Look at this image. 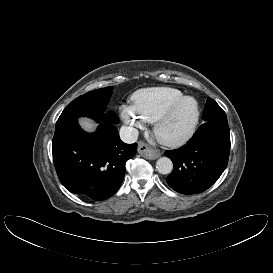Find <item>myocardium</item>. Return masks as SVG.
Returning <instances> with one entry per match:
<instances>
[{
    "label": "myocardium",
    "mask_w": 273,
    "mask_h": 273,
    "mask_svg": "<svg viewBox=\"0 0 273 273\" xmlns=\"http://www.w3.org/2000/svg\"><path fill=\"white\" fill-rule=\"evenodd\" d=\"M186 101H192L195 104L196 107V114L195 117L188 128L186 132L181 134L178 137L175 138H166L161 134V129L164 125V123L171 117V115L174 113V111L184 102ZM201 116V110L200 106L197 102V100L191 96H183L182 98L172 102L169 104L165 110L157 117V119L154 122L153 131L156 136V138L163 144L169 147H180L187 143L195 134L199 121Z\"/></svg>",
    "instance_id": "f54148a6"
}]
</instances>
